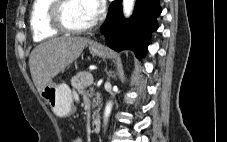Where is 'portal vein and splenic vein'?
<instances>
[{"label": "portal vein and splenic vein", "instance_id": "obj_1", "mask_svg": "<svg viewBox=\"0 0 227 142\" xmlns=\"http://www.w3.org/2000/svg\"><path fill=\"white\" fill-rule=\"evenodd\" d=\"M87 83L88 85H91L93 83V75L91 73L87 76Z\"/></svg>", "mask_w": 227, "mask_h": 142}]
</instances>
